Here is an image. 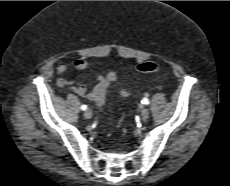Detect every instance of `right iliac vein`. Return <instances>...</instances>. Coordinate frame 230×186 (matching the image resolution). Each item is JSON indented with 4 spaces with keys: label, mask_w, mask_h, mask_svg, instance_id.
Instances as JSON below:
<instances>
[{
    "label": "right iliac vein",
    "mask_w": 230,
    "mask_h": 186,
    "mask_svg": "<svg viewBox=\"0 0 230 186\" xmlns=\"http://www.w3.org/2000/svg\"><path fill=\"white\" fill-rule=\"evenodd\" d=\"M84 117L86 119H90L92 117V111L90 109H87L85 112H84Z\"/></svg>",
    "instance_id": "obj_1"
}]
</instances>
